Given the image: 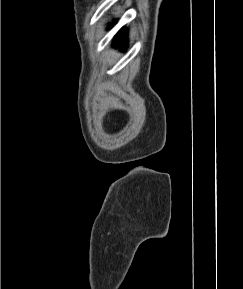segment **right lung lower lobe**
Segmentation results:
<instances>
[{
    "instance_id": "98d812e1",
    "label": "right lung lower lobe",
    "mask_w": 243,
    "mask_h": 289,
    "mask_svg": "<svg viewBox=\"0 0 243 289\" xmlns=\"http://www.w3.org/2000/svg\"><path fill=\"white\" fill-rule=\"evenodd\" d=\"M124 31L125 30H122L121 32H119L117 34V37H116V39L114 41V46L115 47H119L120 45L124 44V41H125Z\"/></svg>"
}]
</instances>
